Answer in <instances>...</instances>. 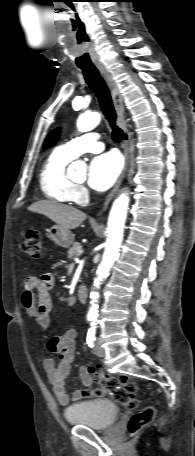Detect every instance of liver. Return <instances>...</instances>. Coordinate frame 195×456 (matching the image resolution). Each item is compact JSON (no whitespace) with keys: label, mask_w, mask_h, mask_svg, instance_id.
<instances>
[{"label":"liver","mask_w":195,"mask_h":456,"mask_svg":"<svg viewBox=\"0 0 195 456\" xmlns=\"http://www.w3.org/2000/svg\"><path fill=\"white\" fill-rule=\"evenodd\" d=\"M29 210L45 215L68 231L76 229L87 218L86 213L83 211L52 200L34 202Z\"/></svg>","instance_id":"liver-1"}]
</instances>
